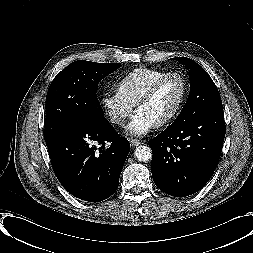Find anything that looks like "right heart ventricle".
I'll return each mask as SVG.
<instances>
[{"label":"right heart ventricle","mask_w":253,"mask_h":253,"mask_svg":"<svg viewBox=\"0 0 253 253\" xmlns=\"http://www.w3.org/2000/svg\"><path fill=\"white\" fill-rule=\"evenodd\" d=\"M166 70L157 68H136L121 76L116 84V92L134 106L146 88Z\"/></svg>","instance_id":"1"}]
</instances>
